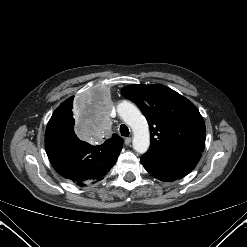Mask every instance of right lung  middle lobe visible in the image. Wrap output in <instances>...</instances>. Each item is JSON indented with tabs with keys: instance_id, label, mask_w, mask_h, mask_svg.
Wrapping results in <instances>:
<instances>
[{
	"instance_id": "1",
	"label": "right lung middle lobe",
	"mask_w": 247,
	"mask_h": 247,
	"mask_svg": "<svg viewBox=\"0 0 247 247\" xmlns=\"http://www.w3.org/2000/svg\"><path fill=\"white\" fill-rule=\"evenodd\" d=\"M53 123L74 129L75 120L72 115V105L56 113Z\"/></svg>"
}]
</instances>
